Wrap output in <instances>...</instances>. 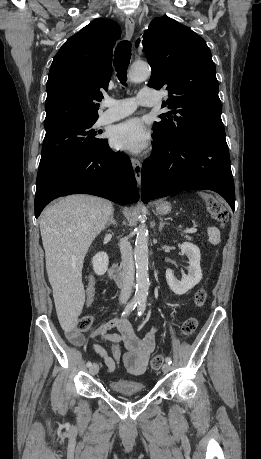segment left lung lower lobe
Here are the masks:
<instances>
[{"instance_id":"1","label":"left lung lower lobe","mask_w":261,"mask_h":459,"mask_svg":"<svg viewBox=\"0 0 261 459\" xmlns=\"http://www.w3.org/2000/svg\"><path fill=\"white\" fill-rule=\"evenodd\" d=\"M151 158L142 166V200L185 190H213L234 211L235 191L225 133L197 135L180 143L153 134Z\"/></svg>"}]
</instances>
